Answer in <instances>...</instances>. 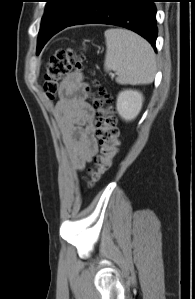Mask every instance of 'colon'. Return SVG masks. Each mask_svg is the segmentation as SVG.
Wrapping results in <instances>:
<instances>
[{"mask_svg": "<svg viewBox=\"0 0 195 299\" xmlns=\"http://www.w3.org/2000/svg\"><path fill=\"white\" fill-rule=\"evenodd\" d=\"M83 56L71 49L57 51L49 59L44 75V90L53 97L60 83L73 70L83 68ZM96 90L91 95V102L97 110L96 134L100 144V154L95 158L94 168L89 169L86 182L88 186L100 180L113 164L118 154L117 118L111 105V96L102 87L95 84Z\"/></svg>", "mask_w": 195, "mask_h": 299, "instance_id": "1", "label": "colon"}]
</instances>
